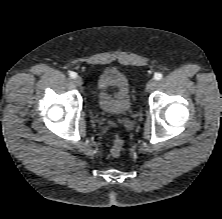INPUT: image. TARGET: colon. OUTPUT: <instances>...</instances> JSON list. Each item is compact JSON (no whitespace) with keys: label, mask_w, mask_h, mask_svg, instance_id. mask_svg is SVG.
<instances>
[{"label":"colon","mask_w":222,"mask_h":219,"mask_svg":"<svg viewBox=\"0 0 222 219\" xmlns=\"http://www.w3.org/2000/svg\"><path fill=\"white\" fill-rule=\"evenodd\" d=\"M122 148H123V142L121 138L116 135L112 141L110 148L112 156L118 157L122 152Z\"/></svg>","instance_id":"1"}]
</instances>
